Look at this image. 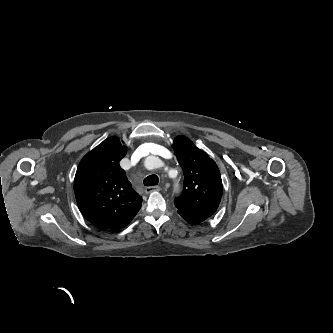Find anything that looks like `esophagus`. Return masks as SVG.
Returning a JSON list of instances; mask_svg holds the SVG:
<instances>
[{
	"mask_svg": "<svg viewBox=\"0 0 333 333\" xmlns=\"http://www.w3.org/2000/svg\"><path fill=\"white\" fill-rule=\"evenodd\" d=\"M160 190H161V187H159V186H149V187H146L145 192L147 194H149V193L160 191Z\"/></svg>",
	"mask_w": 333,
	"mask_h": 333,
	"instance_id": "esophagus-1",
	"label": "esophagus"
}]
</instances>
